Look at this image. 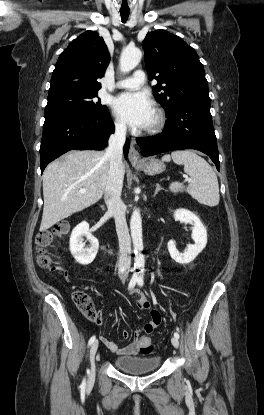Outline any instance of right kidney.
<instances>
[{
    "instance_id": "1",
    "label": "right kidney",
    "mask_w": 264,
    "mask_h": 415,
    "mask_svg": "<svg viewBox=\"0 0 264 415\" xmlns=\"http://www.w3.org/2000/svg\"><path fill=\"white\" fill-rule=\"evenodd\" d=\"M90 242L89 247H85L83 237ZM99 248V242L89 230V224L85 221L78 224L70 236V252L76 262L81 265H88L95 259Z\"/></svg>"
}]
</instances>
